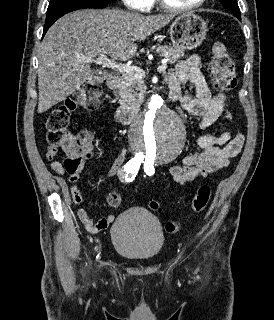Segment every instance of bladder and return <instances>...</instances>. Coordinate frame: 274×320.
Instances as JSON below:
<instances>
[{
  "label": "bladder",
  "instance_id": "bladder-1",
  "mask_svg": "<svg viewBox=\"0 0 274 320\" xmlns=\"http://www.w3.org/2000/svg\"><path fill=\"white\" fill-rule=\"evenodd\" d=\"M115 250L134 261L155 258L164 246V234L157 218L142 208H130L119 214L111 228Z\"/></svg>",
  "mask_w": 274,
  "mask_h": 320
}]
</instances>
